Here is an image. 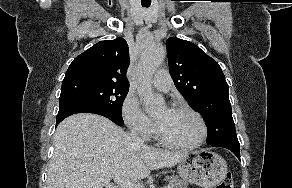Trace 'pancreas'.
Masks as SVG:
<instances>
[{
  "instance_id": "1",
  "label": "pancreas",
  "mask_w": 292,
  "mask_h": 188,
  "mask_svg": "<svg viewBox=\"0 0 292 188\" xmlns=\"http://www.w3.org/2000/svg\"><path fill=\"white\" fill-rule=\"evenodd\" d=\"M166 180L169 182L167 188H187V183L175 176H167Z\"/></svg>"
}]
</instances>
